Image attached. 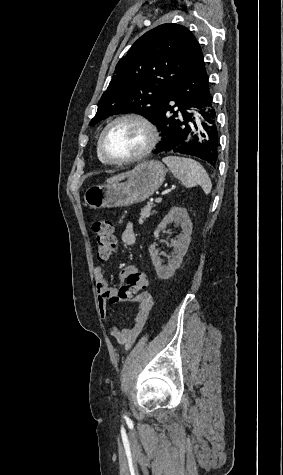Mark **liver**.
Returning a JSON list of instances; mask_svg holds the SVG:
<instances>
[{
	"mask_svg": "<svg viewBox=\"0 0 283 475\" xmlns=\"http://www.w3.org/2000/svg\"><path fill=\"white\" fill-rule=\"evenodd\" d=\"M131 172H125V174H118V176H112V178H108L106 180V184H116V182H121V180H125L130 176Z\"/></svg>",
	"mask_w": 283,
	"mask_h": 475,
	"instance_id": "1",
	"label": "liver"
}]
</instances>
